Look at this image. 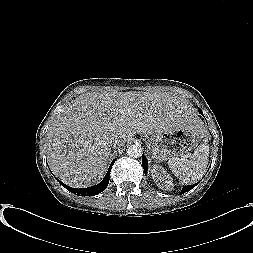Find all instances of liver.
I'll return each instance as SVG.
<instances>
[{"mask_svg":"<svg viewBox=\"0 0 253 253\" xmlns=\"http://www.w3.org/2000/svg\"><path fill=\"white\" fill-rule=\"evenodd\" d=\"M179 124L204 132L187 103L170 93L89 92L66 104L47 132L50 169L63 183L83 188L102 180L113 135L123 146L136 133L145 137Z\"/></svg>","mask_w":253,"mask_h":253,"instance_id":"obj_1","label":"liver"}]
</instances>
